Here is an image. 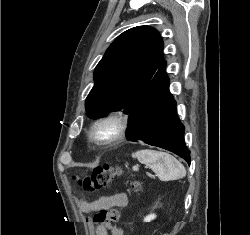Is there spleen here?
Here are the masks:
<instances>
[{"label":"spleen","mask_w":250,"mask_h":235,"mask_svg":"<svg viewBox=\"0 0 250 235\" xmlns=\"http://www.w3.org/2000/svg\"><path fill=\"white\" fill-rule=\"evenodd\" d=\"M133 157L149 166L160 180H178L186 176L184 165L168 153L155 150H141Z\"/></svg>","instance_id":"3e777b00"}]
</instances>
